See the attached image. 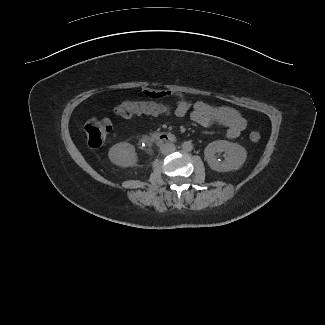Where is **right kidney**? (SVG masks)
I'll return each mask as SVG.
<instances>
[{"label":"right kidney","mask_w":325,"mask_h":325,"mask_svg":"<svg viewBox=\"0 0 325 325\" xmlns=\"http://www.w3.org/2000/svg\"><path fill=\"white\" fill-rule=\"evenodd\" d=\"M108 156L111 162L122 167L134 166L137 162L135 147L127 142L113 145Z\"/></svg>","instance_id":"right-kidney-1"}]
</instances>
